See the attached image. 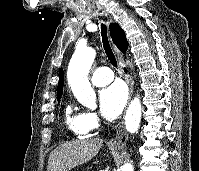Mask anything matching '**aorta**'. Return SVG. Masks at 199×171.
<instances>
[{
	"label": "aorta",
	"mask_w": 199,
	"mask_h": 171,
	"mask_svg": "<svg viewBox=\"0 0 199 171\" xmlns=\"http://www.w3.org/2000/svg\"><path fill=\"white\" fill-rule=\"evenodd\" d=\"M96 56L95 50L78 47L74 52L67 71L68 83L76 99L84 106L96 108V94L88 80V73ZM142 106L135 97L126 112L125 126L128 132L135 133L140 125ZM121 171H133L131 164H125Z\"/></svg>",
	"instance_id": "obj_1"
}]
</instances>
